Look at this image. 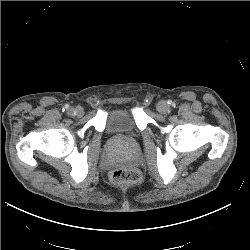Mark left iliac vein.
Masks as SVG:
<instances>
[{
    "label": "left iliac vein",
    "mask_w": 250,
    "mask_h": 250,
    "mask_svg": "<svg viewBox=\"0 0 250 250\" xmlns=\"http://www.w3.org/2000/svg\"><path fill=\"white\" fill-rule=\"evenodd\" d=\"M157 110L160 113L165 114L169 111V105L165 101H160L157 105Z\"/></svg>",
    "instance_id": "left-iliac-vein-1"
}]
</instances>
